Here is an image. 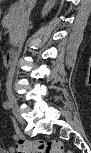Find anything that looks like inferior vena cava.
I'll list each match as a JSON object with an SVG mask.
<instances>
[{
  "mask_svg": "<svg viewBox=\"0 0 91 153\" xmlns=\"http://www.w3.org/2000/svg\"><path fill=\"white\" fill-rule=\"evenodd\" d=\"M36 0H28V9L27 11H24L21 13L22 16V28L19 32V44H17V47L21 48L22 44L24 42V39L26 37V33H27V28L29 25V16H30V11L32 9V7L34 6ZM18 49V48H17ZM15 53H20V50H15ZM19 55L18 54H12V60H10L9 63V73H8V77H7V83H6V87H7V91H11V87H12V79L14 76V68H15V63L17 62L16 60L18 59Z\"/></svg>",
  "mask_w": 91,
  "mask_h": 153,
  "instance_id": "inferior-vena-cava-1",
  "label": "inferior vena cava"
}]
</instances>
